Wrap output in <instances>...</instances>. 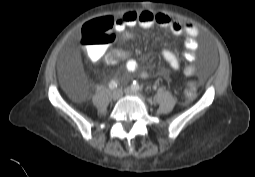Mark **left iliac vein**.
<instances>
[{"label": "left iliac vein", "instance_id": "obj_1", "mask_svg": "<svg viewBox=\"0 0 255 177\" xmlns=\"http://www.w3.org/2000/svg\"><path fill=\"white\" fill-rule=\"evenodd\" d=\"M124 92H125V94H127V95H133V96L142 97V96L140 95L139 92L133 90V89L130 88V87L125 88Z\"/></svg>", "mask_w": 255, "mask_h": 177}]
</instances>
